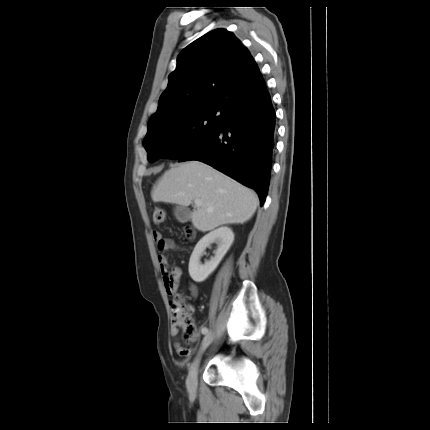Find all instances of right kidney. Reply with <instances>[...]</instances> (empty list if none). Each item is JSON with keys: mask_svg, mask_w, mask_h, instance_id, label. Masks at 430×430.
I'll list each match as a JSON object with an SVG mask.
<instances>
[{"mask_svg": "<svg viewBox=\"0 0 430 430\" xmlns=\"http://www.w3.org/2000/svg\"><path fill=\"white\" fill-rule=\"evenodd\" d=\"M234 241V234L232 230L226 226L220 227L212 232L203 236L196 244L189 261V275L196 283L205 281L217 268L229 248ZM216 243L218 248L215 252L214 258L205 262L204 265L200 262L206 247L210 244Z\"/></svg>", "mask_w": 430, "mask_h": 430, "instance_id": "right-kidney-1", "label": "right kidney"}]
</instances>
